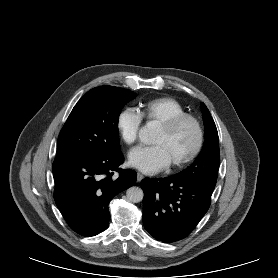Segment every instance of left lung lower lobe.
<instances>
[{"label": "left lung lower lobe", "mask_w": 278, "mask_h": 278, "mask_svg": "<svg viewBox=\"0 0 278 278\" xmlns=\"http://www.w3.org/2000/svg\"><path fill=\"white\" fill-rule=\"evenodd\" d=\"M143 224L158 241L171 243L188 236L207 212L215 185L172 176L144 179Z\"/></svg>", "instance_id": "obj_1"}]
</instances>
